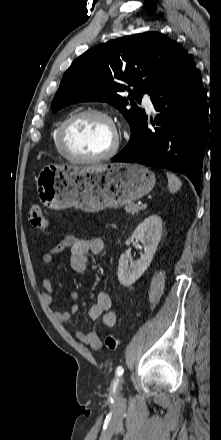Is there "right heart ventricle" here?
<instances>
[{
    "instance_id": "1",
    "label": "right heart ventricle",
    "mask_w": 221,
    "mask_h": 440,
    "mask_svg": "<svg viewBox=\"0 0 221 440\" xmlns=\"http://www.w3.org/2000/svg\"><path fill=\"white\" fill-rule=\"evenodd\" d=\"M64 119L59 120L58 122L55 123V125L52 128L51 131V140H52V144L54 146V149L57 151V153H59L60 155H62L59 147H58V130L61 126V124L63 123Z\"/></svg>"
}]
</instances>
